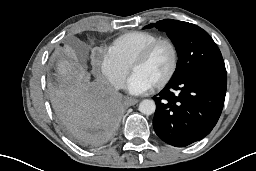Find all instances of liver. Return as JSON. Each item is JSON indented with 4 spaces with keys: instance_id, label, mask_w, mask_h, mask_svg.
<instances>
[{
    "instance_id": "1",
    "label": "liver",
    "mask_w": 256,
    "mask_h": 171,
    "mask_svg": "<svg viewBox=\"0 0 256 171\" xmlns=\"http://www.w3.org/2000/svg\"><path fill=\"white\" fill-rule=\"evenodd\" d=\"M57 70L61 76L74 75L76 71V63L69 59H62L57 63Z\"/></svg>"
}]
</instances>
